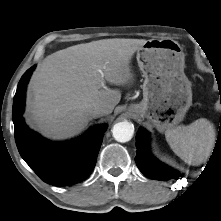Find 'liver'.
Wrapping results in <instances>:
<instances>
[{"label": "liver", "instance_id": "obj_1", "mask_svg": "<svg viewBox=\"0 0 221 221\" xmlns=\"http://www.w3.org/2000/svg\"><path fill=\"white\" fill-rule=\"evenodd\" d=\"M146 41L103 39L47 56L29 84L26 111L31 123L48 138L65 139L80 132L91 120L86 113L89 106H102L103 115L112 113L121 92L103 89L101 81L116 86L130 83L132 56Z\"/></svg>", "mask_w": 221, "mask_h": 221}]
</instances>
